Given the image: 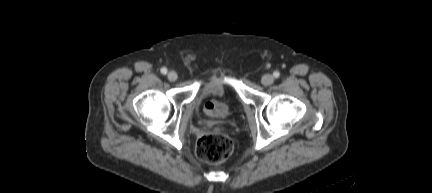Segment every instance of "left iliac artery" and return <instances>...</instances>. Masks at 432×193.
Masks as SVG:
<instances>
[{
    "label": "left iliac artery",
    "mask_w": 432,
    "mask_h": 193,
    "mask_svg": "<svg viewBox=\"0 0 432 193\" xmlns=\"http://www.w3.org/2000/svg\"><path fill=\"white\" fill-rule=\"evenodd\" d=\"M273 76H274L275 78H278V77L280 76V73H279L278 71H275V72L273 73Z\"/></svg>",
    "instance_id": "obj_1"
}]
</instances>
